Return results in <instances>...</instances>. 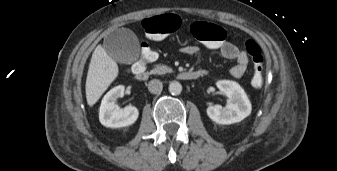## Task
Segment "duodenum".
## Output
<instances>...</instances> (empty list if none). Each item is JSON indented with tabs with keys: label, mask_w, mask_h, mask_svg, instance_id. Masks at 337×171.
Wrapping results in <instances>:
<instances>
[{
	"label": "duodenum",
	"mask_w": 337,
	"mask_h": 171,
	"mask_svg": "<svg viewBox=\"0 0 337 171\" xmlns=\"http://www.w3.org/2000/svg\"><path fill=\"white\" fill-rule=\"evenodd\" d=\"M133 72L138 80H146L148 78V73L144 66L135 64L133 67ZM206 73V70H190L181 72L178 77L182 80H196L198 78L204 77Z\"/></svg>",
	"instance_id": "1"
}]
</instances>
